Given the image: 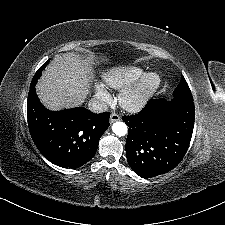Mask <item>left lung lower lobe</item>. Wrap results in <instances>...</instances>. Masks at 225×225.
Masks as SVG:
<instances>
[{
	"label": "left lung lower lobe",
	"instance_id": "left-lung-lower-lobe-1",
	"mask_svg": "<svg viewBox=\"0 0 225 225\" xmlns=\"http://www.w3.org/2000/svg\"><path fill=\"white\" fill-rule=\"evenodd\" d=\"M194 118L192 97L152 99L138 114L123 116L129 127L126 157L133 171L150 178L177 166L189 147Z\"/></svg>",
	"mask_w": 225,
	"mask_h": 225
}]
</instances>
